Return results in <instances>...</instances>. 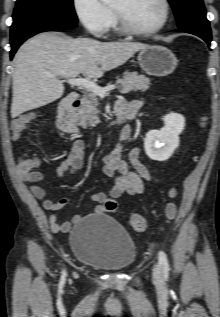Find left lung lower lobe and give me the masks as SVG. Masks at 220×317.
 I'll return each mask as SVG.
<instances>
[{
    "mask_svg": "<svg viewBox=\"0 0 220 317\" xmlns=\"http://www.w3.org/2000/svg\"><path fill=\"white\" fill-rule=\"evenodd\" d=\"M176 31L186 32L196 35L202 38L210 45L211 42V30L209 25H202L200 23H189L182 27H179Z\"/></svg>",
    "mask_w": 220,
    "mask_h": 317,
    "instance_id": "left-lung-lower-lobe-1",
    "label": "left lung lower lobe"
}]
</instances>
